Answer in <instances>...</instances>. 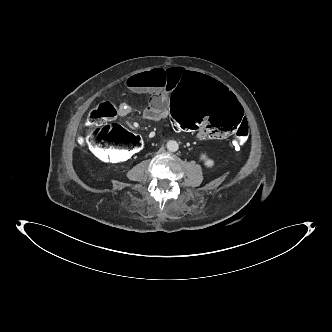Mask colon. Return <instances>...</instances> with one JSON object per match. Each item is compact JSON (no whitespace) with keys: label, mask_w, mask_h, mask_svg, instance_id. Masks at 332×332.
<instances>
[{"label":"colon","mask_w":332,"mask_h":332,"mask_svg":"<svg viewBox=\"0 0 332 332\" xmlns=\"http://www.w3.org/2000/svg\"><path fill=\"white\" fill-rule=\"evenodd\" d=\"M116 113V105L104 101L91 111L86 125V141L91 144L94 155L106 162H124L144 146L142 138L121 127L107 130L98 127ZM242 116L239 98L205 74L186 75L172 96L170 117L179 131L214 139L227 138L234 133L231 141L234 148L245 145L249 137V126L245 120L241 122Z\"/></svg>","instance_id":"5ec220e1"}]
</instances>
